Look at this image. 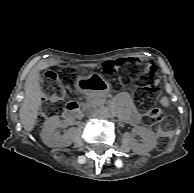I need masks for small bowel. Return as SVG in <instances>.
Returning a JSON list of instances; mask_svg holds the SVG:
<instances>
[{
	"instance_id": "obj_1",
	"label": "small bowel",
	"mask_w": 194,
	"mask_h": 193,
	"mask_svg": "<svg viewBox=\"0 0 194 193\" xmlns=\"http://www.w3.org/2000/svg\"><path fill=\"white\" fill-rule=\"evenodd\" d=\"M119 101L125 105L126 110L128 112V117H129V121L134 124L137 125L139 124L140 120H141V116L139 113H137L135 111V109L132 106L131 101L126 97V96H120Z\"/></svg>"
}]
</instances>
